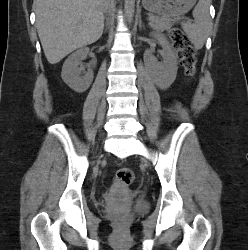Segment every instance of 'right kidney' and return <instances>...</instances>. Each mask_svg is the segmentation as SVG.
I'll use <instances>...</instances> for the list:
<instances>
[{"label": "right kidney", "mask_w": 248, "mask_h": 250, "mask_svg": "<svg viewBox=\"0 0 248 250\" xmlns=\"http://www.w3.org/2000/svg\"><path fill=\"white\" fill-rule=\"evenodd\" d=\"M89 54V48L83 47L72 53L64 62L61 72L63 81L78 93L85 92L91 85L94 74L92 70L83 72L79 65ZM85 73L83 76L81 74Z\"/></svg>", "instance_id": "obj_1"}]
</instances>
